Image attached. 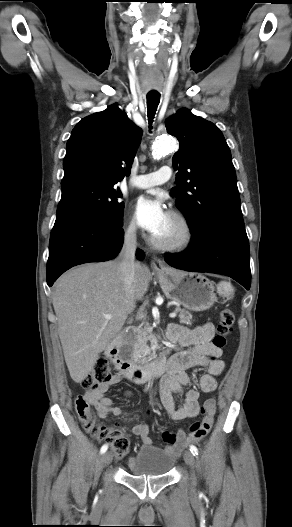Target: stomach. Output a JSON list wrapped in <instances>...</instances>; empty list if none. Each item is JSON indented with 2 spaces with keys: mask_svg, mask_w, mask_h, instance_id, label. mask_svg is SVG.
<instances>
[{
  "mask_svg": "<svg viewBox=\"0 0 292 527\" xmlns=\"http://www.w3.org/2000/svg\"><path fill=\"white\" fill-rule=\"evenodd\" d=\"M166 297L191 311H204L217 301L214 283L202 274L165 268L157 272Z\"/></svg>",
  "mask_w": 292,
  "mask_h": 527,
  "instance_id": "1",
  "label": "stomach"
}]
</instances>
